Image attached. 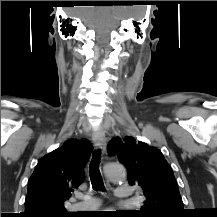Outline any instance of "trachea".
Segmentation results:
<instances>
[{
    "label": "trachea",
    "instance_id": "trachea-1",
    "mask_svg": "<svg viewBox=\"0 0 217 217\" xmlns=\"http://www.w3.org/2000/svg\"><path fill=\"white\" fill-rule=\"evenodd\" d=\"M100 159H101V152L100 150H98L93 154V158L89 166L90 180H91L92 188L95 191L105 190L104 183L99 170Z\"/></svg>",
    "mask_w": 217,
    "mask_h": 217
}]
</instances>
